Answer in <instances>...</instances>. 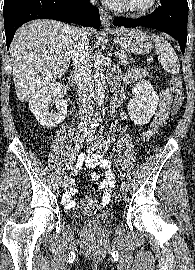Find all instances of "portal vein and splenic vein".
<instances>
[{
    "mask_svg": "<svg viewBox=\"0 0 195 270\" xmlns=\"http://www.w3.org/2000/svg\"><path fill=\"white\" fill-rule=\"evenodd\" d=\"M115 56L119 57L120 56V53L119 52H116L115 53Z\"/></svg>",
    "mask_w": 195,
    "mask_h": 270,
    "instance_id": "1",
    "label": "portal vein and splenic vein"
}]
</instances>
